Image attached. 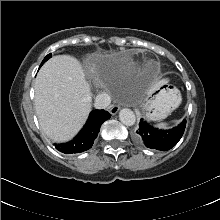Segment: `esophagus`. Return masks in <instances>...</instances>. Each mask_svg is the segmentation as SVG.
I'll return each mask as SVG.
<instances>
[{
  "label": "esophagus",
  "instance_id": "1",
  "mask_svg": "<svg viewBox=\"0 0 220 220\" xmlns=\"http://www.w3.org/2000/svg\"><path fill=\"white\" fill-rule=\"evenodd\" d=\"M120 109V106L119 105H111L110 108H109V112L112 114V115H115Z\"/></svg>",
  "mask_w": 220,
  "mask_h": 220
}]
</instances>
